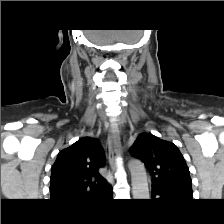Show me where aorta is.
Instances as JSON below:
<instances>
[{
  "label": "aorta",
  "instance_id": "1",
  "mask_svg": "<svg viewBox=\"0 0 224 224\" xmlns=\"http://www.w3.org/2000/svg\"><path fill=\"white\" fill-rule=\"evenodd\" d=\"M128 167L131 173L133 198L149 199V187L144 164L139 160H131Z\"/></svg>",
  "mask_w": 224,
  "mask_h": 224
}]
</instances>
